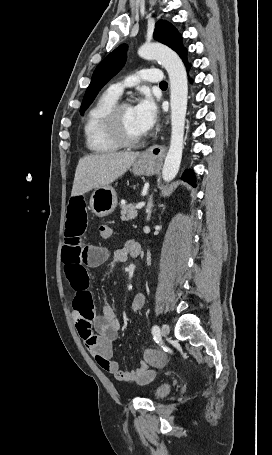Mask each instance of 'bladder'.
<instances>
[{
    "label": "bladder",
    "mask_w": 272,
    "mask_h": 455,
    "mask_svg": "<svg viewBox=\"0 0 272 455\" xmlns=\"http://www.w3.org/2000/svg\"><path fill=\"white\" fill-rule=\"evenodd\" d=\"M171 391V385L167 382H163L154 387L152 396L155 399H162L166 397Z\"/></svg>",
    "instance_id": "31cf9c89"
}]
</instances>
